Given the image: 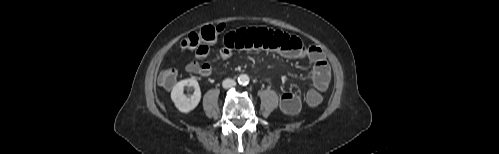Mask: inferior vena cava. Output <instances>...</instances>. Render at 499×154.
<instances>
[{
    "mask_svg": "<svg viewBox=\"0 0 499 154\" xmlns=\"http://www.w3.org/2000/svg\"><path fill=\"white\" fill-rule=\"evenodd\" d=\"M235 85H236L235 80L230 79V78H227V79L223 80V82H222L223 88H231V87H234Z\"/></svg>",
    "mask_w": 499,
    "mask_h": 154,
    "instance_id": "obj_1",
    "label": "inferior vena cava"
}]
</instances>
